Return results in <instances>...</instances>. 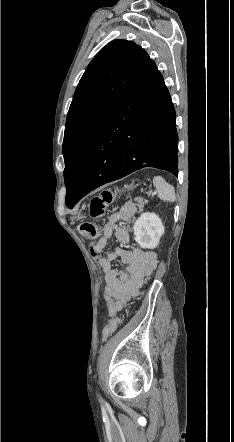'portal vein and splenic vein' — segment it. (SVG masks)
I'll return each instance as SVG.
<instances>
[{
	"instance_id": "obj_1",
	"label": "portal vein and splenic vein",
	"mask_w": 234,
	"mask_h": 442,
	"mask_svg": "<svg viewBox=\"0 0 234 442\" xmlns=\"http://www.w3.org/2000/svg\"><path fill=\"white\" fill-rule=\"evenodd\" d=\"M150 194H151L152 196H154V195L156 194V191H152V192H150Z\"/></svg>"
}]
</instances>
